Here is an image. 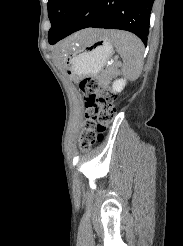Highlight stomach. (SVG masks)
Listing matches in <instances>:
<instances>
[{"label": "stomach", "instance_id": "obj_1", "mask_svg": "<svg viewBox=\"0 0 183 246\" xmlns=\"http://www.w3.org/2000/svg\"><path fill=\"white\" fill-rule=\"evenodd\" d=\"M107 32L105 31L94 41L80 45L69 56L67 69L72 78L95 75L101 71L113 52V45Z\"/></svg>", "mask_w": 183, "mask_h": 246}]
</instances>
